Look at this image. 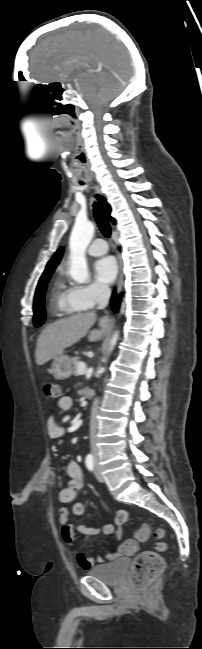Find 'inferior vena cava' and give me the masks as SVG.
Here are the masks:
<instances>
[{"instance_id":"1","label":"inferior vena cava","mask_w":202,"mask_h":649,"mask_svg":"<svg viewBox=\"0 0 202 649\" xmlns=\"http://www.w3.org/2000/svg\"><path fill=\"white\" fill-rule=\"evenodd\" d=\"M111 296V290L108 287V285H103L99 284L97 285V303H98V309H104L109 302ZM97 405L98 401L96 400L94 402L93 406V413L95 414L97 410ZM96 428H97V423L95 418L93 417L90 425V442H91V451L92 454L95 456L97 455V437H96Z\"/></svg>"}]
</instances>
